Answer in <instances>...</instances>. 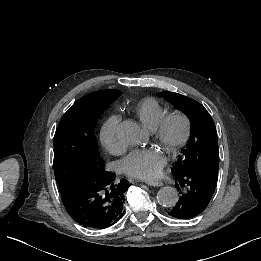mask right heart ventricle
<instances>
[{"instance_id":"right-heart-ventricle-1","label":"right heart ventricle","mask_w":261,"mask_h":261,"mask_svg":"<svg viewBox=\"0 0 261 261\" xmlns=\"http://www.w3.org/2000/svg\"><path fill=\"white\" fill-rule=\"evenodd\" d=\"M132 112L145 126H153L167 113V109L158 99L145 97L132 107Z\"/></svg>"}]
</instances>
